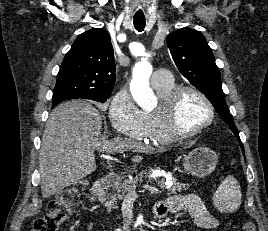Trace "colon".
<instances>
[{
  "label": "colon",
  "instance_id": "5ec220e1",
  "mask_svg": "<svg viewBox=\"0 0 268 231\" xmlns=\"http://www.w3.org/2000/svg\"><path fill=\"white\" fill-rule=\"evenodd\" d=\"M84 187V182L79 181L63 189L55 199L48 203L45 215L34 221L32 231H58L71 217ZM256 230L255 222L247 221L241 231Z\"/></svg>",
  "mask_w": 268,
  "mask_h": 231
}]
</instances>
